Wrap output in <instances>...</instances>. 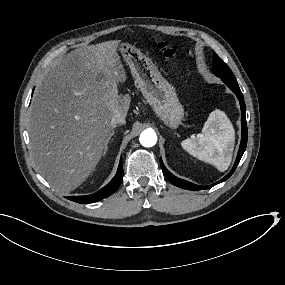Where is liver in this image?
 I'll use <instances>...</instances> for the list:
<instances>
[{
    "instance_id": "6515ba94",
    "label": "liver",
    "mask_w": 285,
    "mask_h": 285,
    "mask_svg": "<svg viewBox=\"0 0 285 285\" xmlns=\"http://www.w3.org/2000/svg\"><path fill=\"white\" fill-rule=\"evenodd\" d=\"M119 41L77 48L57 59L36 85L28 116L36 168L62 194L81 185L102 157L115 112L131 97L118 94L126 73Z\"/></svg>"
}]
</instances>
